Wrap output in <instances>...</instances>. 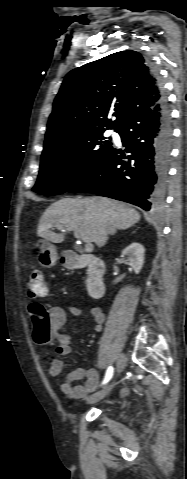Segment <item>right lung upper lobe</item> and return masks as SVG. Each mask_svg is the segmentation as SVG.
I'll use <instances>...</instances> for the list:
<instances>
[{"label":"right lung upper lobe","instance_id":"cb5924a9","mask_svg":"<svg viewBox=\"0 0 187 479\" xmlns=\"http://www.w3.org/2000/svg\"><path fill=\"white\" fill-rule=\"evenodd\" d=\"M161 97L157 77L139 52H116L85 64L70 71L62 83L44 148L82 132L116 130L133 112L152 108Z\"/></svg>","mask_w":187,"mask_h":479}]
</instances>
